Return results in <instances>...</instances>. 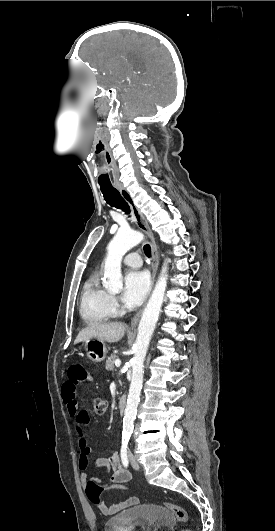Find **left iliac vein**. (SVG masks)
<instances>
[{
	"label": "left iliac vein",
	"mask_w": 275,
	"mask_h": 531,
	"mask_svg": "<svg viewBox=\"0 0 275 531\" xmlns=\"http://www.w3.org/2000/svg\"><path fill=\"white\" fill-rule=\"evenodd\" d=\"M129 460L134 469H139V464L132 453H129Z\"/></svg>",
	"instance_id": "left-iliac-vein-1"
}]
</instances>
